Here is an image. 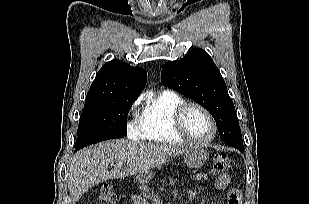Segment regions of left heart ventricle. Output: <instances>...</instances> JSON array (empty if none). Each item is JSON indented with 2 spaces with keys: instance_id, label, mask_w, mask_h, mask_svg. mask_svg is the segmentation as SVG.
Masks as SVG:
<instances>
[{
  "instance_id": "obj_1",
  "label": "left heart ventricle",
  "mask_w": 309,
  "mask_h": 204,
  "mask_svg": "<svg viewBox=\"0 0 309 204\" xmlns=\"http://www.w3.org/2000/svg\"><path fill=\"white\" fill-rule=\"evenodd\" d=\"M184 124L188 132L198 140H206L211 136V124L204 113L197 108L187 110Z\"/></svg>"
}]
</instances>
